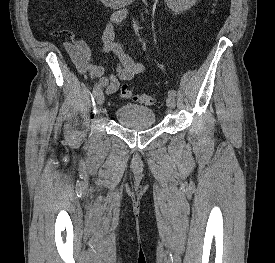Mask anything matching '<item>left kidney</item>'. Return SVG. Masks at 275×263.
I'll return each instance as SVG.
<instances>
[{
  "instance_id": "left-kidney-1",
  "label": "left kidney",
  "mask_w": 275,
  "mask_h": 263,
  "mask_svg": "<svg viewBox=\"0 0 275 263\" xmlns=\"http://www.w3.org/2000/svg\"><path fill=\"white\" fill-rule=\"evenodd\" d=\"M167 6L175 13L187 11L197 0H164Z\"/></svg>"
}]
</instances>
